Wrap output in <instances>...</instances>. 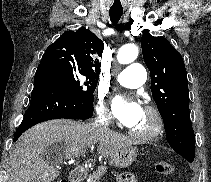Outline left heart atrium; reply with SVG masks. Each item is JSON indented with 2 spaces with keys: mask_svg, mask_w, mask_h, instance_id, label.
I'll return each mask as SVG.
<instances>
[{
  "mask_svg": "<svg viewBox=\"0 0 211 182\" xmlns=\"http://www.w3.org/2000/svg\"><path fill=\"white\" fill-rule=\"evenodd\" d=\"M115 116L125 126L134 125L142 114V107L134 100L125 99L122 96H115L112 100Z\"/></svg>",
  "mask_w": 211,
  "mask_h": 182,
  "instance_id": "1",
  "label": "left heart atrium"
}]
</instances>
